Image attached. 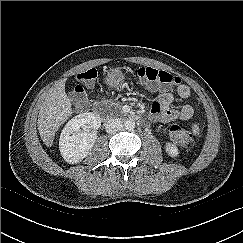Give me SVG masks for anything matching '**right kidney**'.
Returning a JSON list of instances; mask_svg holds the SVG:
<instances>
[{"label":"right kidney","mask_w":243,"mask_h":243,"mask_svg":"<svg viewBox=\"0 0 243 243\" xmlns=\"http://www.w3.org/2000/svg\"><path fill=\"white\" fill-rule=\"evenodd\" d=\"M101 125L99 115L91 112L81 113L67 122L60 139L59 149L63 159L70 164L82 161L91 151Z\"/></svg>","instance_id":"ca27d5eb"}]
</instances>
